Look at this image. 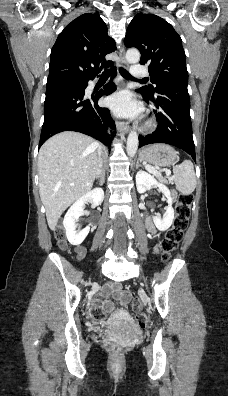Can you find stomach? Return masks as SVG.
<instances>
[{
  "instance_id": "0dacf381",
  "label": "stomach",
  "mask_w": 228,
  "mask_h": 396,
  "mask_svg": "<svg viewBox=\"0 0 228 396\" xmlns=\"http://www.w3.org/2000/svg\"><path fill=\"white\" fill-rule=\"evenodd\" d=\"M139 157L155 166H170L176 163L178 155L171 146L157 143L142 148Z\"/></svg>"
}]
</instances>
